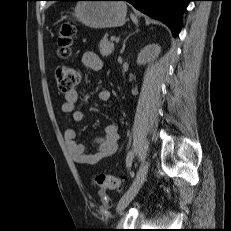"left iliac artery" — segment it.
Segmentation results:
<instances>
[{
  "instance_id": "1",
  "label": "left iliac artery",
  "mask_w": 231,
  "mask_h": 231,
  "mask_svg": "<svg viewBox=\"0 0 231 231\" xmlns=\"http://www.w3.org/2000/svg\"><path fill=\"white\" fill-rule=\"evenodd\" d=\"M133 158H134V151L131 150V151L128 152V154L126 156V166H127L128 169H130V167L132 165ZM131 176H133V174H131Z\"/></svg>"
}]
</instances>
